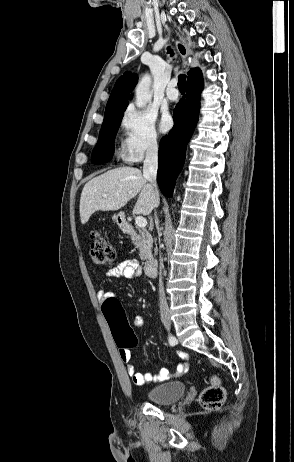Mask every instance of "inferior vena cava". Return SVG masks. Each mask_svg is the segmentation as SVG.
<instances>
[{
  "mask_svg": "<svg viewBox=\"0 0 294 462\" xmlns=\"http://www.w3.org/2000/svg\"><path fill=\"white\" fill-rule=\"evenodd\" d=\"M157 169H158V145L157 143H152L147 151L146 157L143 165V175L148 180L149 184L152 187L153 197L156 203V206L159 204V195L157 191ZM156 222L158 223V217L155 214ZM159 307L161 315L169 313V307L167 304L164 286L162 282V276L159 278Z\"/></svg>",
  "mask_w": 294,
  "mask_h": 462,
  "instance_id": "1",
  "label": "inferior vena cava"
}]
</instances>
